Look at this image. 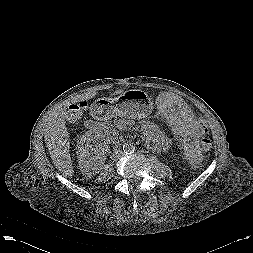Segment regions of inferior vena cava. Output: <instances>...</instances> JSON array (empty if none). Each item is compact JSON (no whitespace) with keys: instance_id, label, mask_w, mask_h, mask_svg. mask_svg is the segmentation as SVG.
Here are the masks:
<instances>
[{"instance_id":"1","label":"inferior vena cava","mask_w":253,"mask_h":253,"mask_svg":"<svg viewBox=\"0 0 253 253\" xmlns=\"http://www.w3.org/2000/svg\"><path fill=\"white\" fill-rule=\"evenodd\" d=\"M121 156H122V151L116 149L114 152L113 158L119 159Z\"/></svg>"}]
</instances>
